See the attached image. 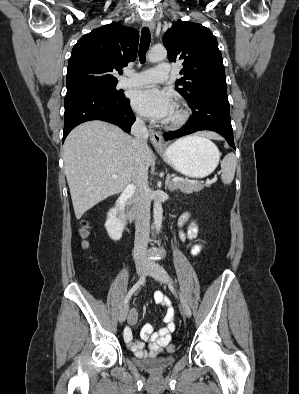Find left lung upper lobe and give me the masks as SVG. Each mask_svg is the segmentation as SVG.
<instances>
[{
  "label": "left lung upper lobe",
  "mask_w": 299,
  "mask_h": 394,
  "mask_svg": "<svg viewBox=\"0 0 299 394\" xmlns=\"http://www.w3.org/2000/svg\"><path fill=\"white\" fill-rule=\"evenodd\" d=\"M171 62L183 61L182 77L175 82L190 103L208 89H227L225 69L216 37L198 23L178 20L163 36Z\"/></svg>",
  "instance_id": "obj_1"
}]
</instances>
